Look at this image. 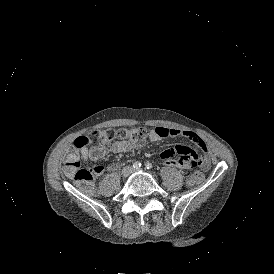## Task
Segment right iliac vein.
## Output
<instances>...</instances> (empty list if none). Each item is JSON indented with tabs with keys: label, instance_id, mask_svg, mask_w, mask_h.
<instances>
[{
	"label": "right iliac vein",
	"instance_id": "obj_1",
	"mask_svg": "<svg viewBox=\"0 0 274 274\" xmlns=\"http://www.w3.org/2000/svg\"><path fill=\"white\" fill-rule=\"evenodd\" d=\"M131 173V168L130 167H125L122 171H121V174L123 177H128L129 174Z\"/></svg>",
	"mask_w": 274,
	"mask_h": 274
}]
</instances>
